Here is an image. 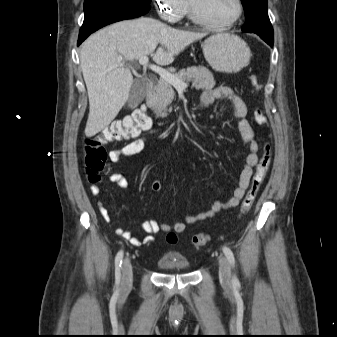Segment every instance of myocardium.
Returning a JSON list of instances; mask_svg holds the SVG:
<instances>
[{
  "mask_svg": "<svg viewBox=\"0 0 337 337\" xmlns=\"http://www.w3.org/2000/svg\"><path fill=\"white\" fill-rule=\"evenodd\" d=\"M234 3H235L234 15L228 21H225L222 23L211 22L199 16L191 0H188V13L192 21H194L195 23L205 28L213 29V30H226V29L231 28L233 25H235L243 14L242 0H234Z\"/></svg>",
  "mask_w": 337,
  "mask_h": 337,
  "instance_id": "f54148a6",
  "label": "myocardium"
}]
</instances>
